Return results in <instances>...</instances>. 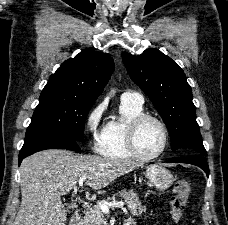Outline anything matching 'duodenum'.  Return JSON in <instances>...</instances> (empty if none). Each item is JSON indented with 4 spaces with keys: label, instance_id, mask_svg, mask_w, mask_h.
Masks as SVG:
<instances>
[{
    "label": "duodenum",
    "instance_id": "duodenum-1",
    "mask_svg": "<svg viewBox=\"0 0 228 225\" xmlns=\"http://www.w3.org/2000/svg\"><path fill=\"white\" fill-rule=\"evenodd\" d=\"M81 217H82V209L78 208L72 215L68 225H82ZM124 225H135V222L133 219L130 218L124 222Z\"/></svg>",
    "mask_w": 228,
    "mask_h": 225
}]
</instances>
